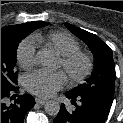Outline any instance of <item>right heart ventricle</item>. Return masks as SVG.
Wrapping results in <instances>:
<instances>
[{
  "instance_id": "1",
  "label": "right heart ventricle",
  "mask_w": 123,
  "mask_h": 123,
  "mask_svg": "<svg viewBox=\"0 0 123 123\" xmlns=\"http://www.w3.org/2000/svg\"><path fill=\"white\" fill-rule=\"evenodd\" d=\"M30 38L36 46L51 48L60 56L80 49L78 40L63 31H52L45 34L35 33Z\"/></svg>"
}]
</instances>
